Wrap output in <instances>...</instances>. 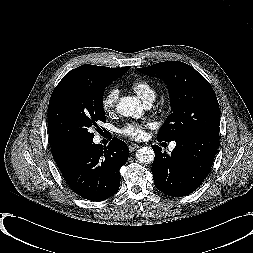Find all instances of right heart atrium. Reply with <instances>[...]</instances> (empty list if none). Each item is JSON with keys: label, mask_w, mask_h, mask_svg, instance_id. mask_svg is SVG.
<instances>
[{"label": "right heart atrium", "mask_w": 253, "mask_h": 253, "mask_svg": "<svg viewBox=\"0 0 253 253\" xmlns=\"http://www.w3.org/2000/svg\"><path fill=\"white\" fill-rule=\"evenodd\" d=\"M119 97V91L117 89H110L106 92L102 98V108L105 112L111 113L115 110Z\"/></svg>", "instance_id": "obj_1"}]
</instances>
